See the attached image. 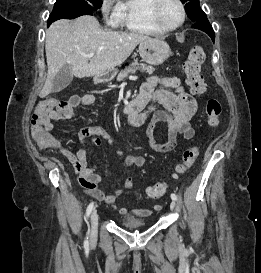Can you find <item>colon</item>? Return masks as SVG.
<instances>
[{
	"mask_svg": "<svg viewBox=\"0 0 261 273\" xmlns=\"http://www.w3.org/2000/svg\"><path fill=\"white\" fill-rule=\"evenodd\" d=\"M206 59V53L202 46H193L186 61L183 64V72L186 83L195 95H202L206 91V83L201 74V65ZM79 102L77 96H72L69 102H60L56 99H47L36 107L31 120V135L41 149H50L57 146V140L46 129V121L51 113H58L61 119H69L73 116V105ZM207 122L210 128L215 129L220 124L221 105L216 99H209L206 103ZM199 155L198 147H191L183 152L182 161L174 172V176L187 172ZM168 189L166 182H158L147 188V195L152 199L162 197Z\"/></svg>",
	"mask_w": 261,
	"mask_h": 273,
	"instance_id": "1",
	"label": "colon"
}]
</instances>
